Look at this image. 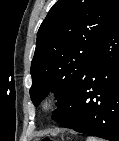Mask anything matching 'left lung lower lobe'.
I'll use <instances>...</instances> for the list:
<instances>
[{"instance_id":"left-lung-lower-lobe-1","label":"left lung lower lobe","mask_w":119,"mask_h":141,"mask_svg":"<svg viewBox=\"0 0 119 141\" xmlns=\"http://www.w3.org/2000/svg\"><path fill=\"white\" fill-rule=\"evenodd\" d=\"M52 119L80 133L119 141V13L99 40L78 84L58 105Z\"/></svg>"}]
</instances>
